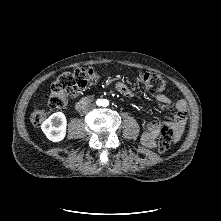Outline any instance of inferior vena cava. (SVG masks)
<instances>
[{
  "instance_id": "obj_1",
  "label": "inferior vena cava",
  "mask_w": 221,
  "mask_h": 221,
  "mask_svg": "<svg viewBox=\"0 0 221 221\" xmlns=\"http://www.w3.org/2000/svg\"><path fill=\"white\" fill-rule=\"evenodd\" d=\"M95 104H88L86 107H85V112H89V111H91V110H93V109H95Z\"/></svg>"
}]
</instances>
